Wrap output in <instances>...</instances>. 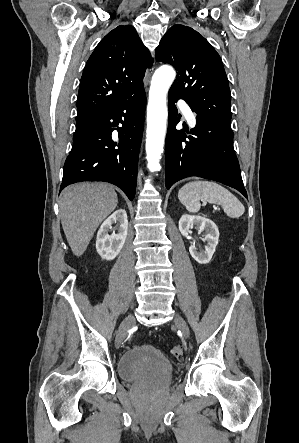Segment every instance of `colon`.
I'll list each match as a JSON object with an SVG mask.
<instances>
[{
    "label": "colon",
    "mask_w": 299,
    "mask_h": 443,
    "mask_svg": "<svg viewBox=\"0 0 299 443\" xmlns=\"http://www.w3.org/2000/svg\"><path fill=\"white\" fill-rule=\"evenodd\" d=\"M172 354L178 359L182 358L183 357V347L181 345H175L172 348Z\"/></svg>",
    "instance_id": "colon-1"
}]
</instances>
